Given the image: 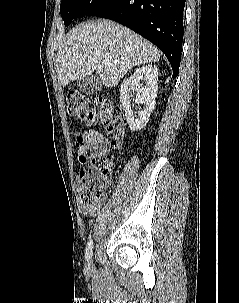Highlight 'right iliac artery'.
Returning <instances> with one entry per match:
<instances>
[{
	"label": "right iliac artery",
	"instance_id": "obj_1",
	"mask_svg": "<svg viewBox=\"0 0 239 303\" xmlns=\"http://www.w3.org/2000/svg\"><path fill=\"white\" fill-rule=\"evenodd\" d=\"M92 249H93V243L92 240L90 239L85 249V258L87 261H90L92 258Z\"/></svg>",
	"mask_w": 239,
	"mask_h": 303
}]
</instances>
